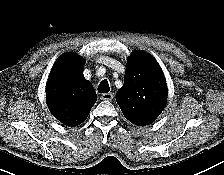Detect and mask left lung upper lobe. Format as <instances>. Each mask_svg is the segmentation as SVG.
Segmentation results:
<instances>
[{
    "instance_id": "obj_1",
    "label": "left lung upper lobe",
    "mask_w": 224,
    "mask_h": 175,
    "mask_svg": "<svg viewBox=\"0 0 224 175\" xmlns=\"http://www.w3.org/2000/svg\"><path fill=\"white\" fill-rule=\"evenodd\" d=\"M123 115L137 126H146L160 115L167 101V84L157 61L144 51L128 58L124 85L116 93Z\"/></svg>"
}]
</instances>
